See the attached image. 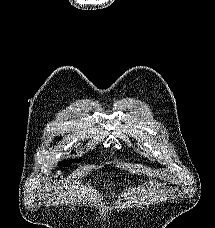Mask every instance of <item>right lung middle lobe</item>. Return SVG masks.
Wrapping results in <instances>:
<instances>
[{"label": "right lung middle lobe", "mask_w": 215, "mask_h": 228, "mask_svg": "<svg viewBox=\"0 0 215 228\" xmlns=\"http://www.w3.org/2000/svg\"><path fill=\"white\" fill-rule=\"evenodd\" d=\"M72 162H78V160L65 161V162H63V166H68V164L72 163Z\"/></svg>", "instance_id": "right-lung-middle-lobe-1"}]
</instances>
